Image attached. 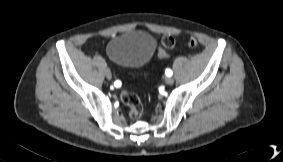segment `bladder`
<instances>
[{"label":"bladder","mask_w":283,"mask_h":162,"mask_svg":"<svg viewBox=\"0 0 283 162\" xmlns=\"http://www.w3.org/2000/svg\"><path fill=\"white\" fill-rule=\"evenodd\" d=\"M156 49L157 43L152 35L135 30L117 35L107 46V52L115 62L129 67L145 65Z\"/></svg>","instance_id":"31cf9c89"}]
</instances>
